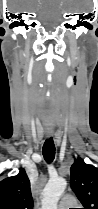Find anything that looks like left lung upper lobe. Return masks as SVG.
<instances>
[{"label":"left lung upper lobe","instance_id":"obj_1","mask_svg":"<svg viewBox=\"0 0 98 209\" xmlns=\"http://www.w3.org/2000/svg\"><path fill=\"white\" fill-rule=\"evenodd\" d=\"M70 185L83 209H98V168L75 160L70 169Z\"/></svg>","mask_w":98,"mask_h":209}]
</instances>
